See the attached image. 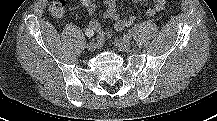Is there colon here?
<instances>
[{
    "instance_id": "obj_1",
    "label": "colon",
    "mask_w": 217,
    "mask_h": 121,
    "mask_svg": "<svg viewBox=\"0 0 217 121\" xmlns=\"http://www.w3.org/2000/svg\"><path fill=\"white\" fill-rule=\"evenodd\" d=\"M66 9V0H54L49 5V12L52 16L62 17Z\"/></svg>"
}]
</instances>
